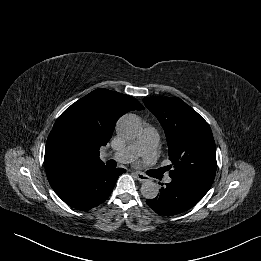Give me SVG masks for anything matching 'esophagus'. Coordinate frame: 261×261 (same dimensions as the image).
<instances>
[{
	"label": "esophagus",
	"mask_w": 261,
	"mask_h": 261,
	"mask_svg": "<svg viewBox=\"0 0 261 261\" xmlns=\"http://www.w3.org/2000/svg\"><path fill=\"white\" fill-rule=\"evenodd\" d=\"M136 178L140 181V182H145L149 180V177L147 175H144L140 172H135L134 173Z\"/></svg>",
	"instance_id": "obj_1"
}]
</instances>
